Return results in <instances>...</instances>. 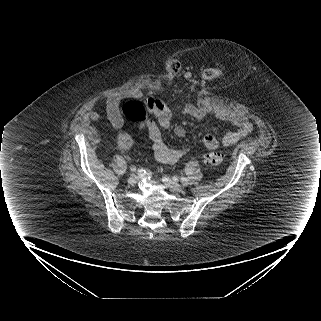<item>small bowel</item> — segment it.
Returning a JSON list of instances; mask_svg holds the SVG:
<instances>
[{
  "label": "small bowel",
  "mask_w": 321,
  "mask_h": 321,
  "mask_svg": "<svg viewBox=\"0 0 321 321\" xmlns=\"http://www.w3.org/2000/svg\"><path fill=\"white\" fill-rule=\"evenodd\" d=\"M127 93H116L110 96L106 101V109L108 118L111 124L116 128H121L124 125V120L119 111V104L122 99L128 97ZM146 109L151 115L150 119L143 125V129L147 133L152 142V149L155 158L162 164L170 165L177 162L185 153L184 149H171L164 143L161 128H169L171 126L173 111L160 99H149L146 102ZM184 116H188L197 120L203 119L209 113L207 106L187 105L181 109ZM215 116L224 122L231 123L236 127L235 130L225 133L221 138L208 133L204 136V145L209 149H216L220 145L230 146L237 143L239 140L247 137L253 129L248 118L234 110L218 109L215 111ZM174 134L182 138L186 131L184 127L178 125L174 127ZM134 138L128 133L120 134L118 138V146L123 149L133 147Z\"/></svg>",
  "instance_id": "small-bowel-1"
}]
</instances>
